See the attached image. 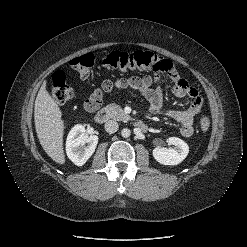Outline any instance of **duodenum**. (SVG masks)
Returning a JSON list of instances; mask_svg holds the SVG:
<instances>
[{"instance_id":"410a0bca","label":"duodenum","mask_w":247,"mask_h":247,"mask_svg":"<svg viewBox=\"0 0 247 247\" xmlns=\"http://www.w3.org/2000/svg\"><path fill=\"white\" fill-rule=\"evenodd\" d=\"M94 119L97 123H104L108 120V114L104 109H101L95 114ZM135 125L141 131H146L148 128V126L142 121H137Z\"/></svg>"}]
</instances>
